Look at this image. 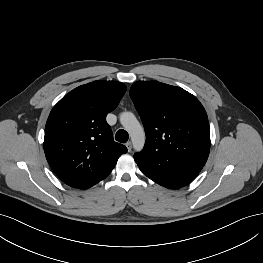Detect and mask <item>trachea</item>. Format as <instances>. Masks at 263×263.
Listing matches in <instances>:
<instances>
[{
  "label": "trachea",
  "instance_id": "obj_1",
  "mask_svg": "<svg viewBox=\"0 0 263 263\" xmlns=\"http://www.w3.org/2000/svg\"><path fill=\"white\" fill-rule=\"evenodd\" d=\"M128 138H129V135H128L127 131H125L123 129L118 130L116 135H115V139L121 143H126L128 141Z\"/></svg>",
  "mask_w": 263,
  "mask_h": 263
}]
</instances>
